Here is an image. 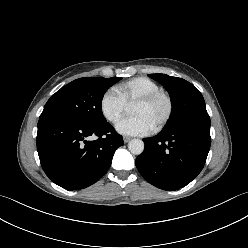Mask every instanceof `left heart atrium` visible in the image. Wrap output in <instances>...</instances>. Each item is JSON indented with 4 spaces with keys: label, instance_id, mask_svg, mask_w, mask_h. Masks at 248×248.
<instances>
[{
    "label": "left heart atrium",
    "instance_id": "39dd6f15",
    "mask_svg": "<svg viewBox=\"0 0 248 248\" xmlns=\"http://www.w3.org/2000/svg\"><path fill=\"white\" fill-rule=\"evenodd\" d=\"M116 130L123 135L138 136L149 134L153 126L143 116L135 115L120 120Z\"/></svg>",
    "mask_w": 248,
    "mask_h": 248
}]
</instances>
